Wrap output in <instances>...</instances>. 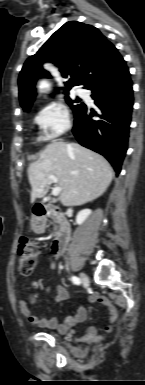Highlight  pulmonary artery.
<instances>
[{"mask_svg": "<svg viewBox=\"0 0 145 385\" xmlns=\"http://www.w3.org/2000/svg\"><path fill=\"white\" fill-rule=\"evenodd\" d=\"M77 93L79 96H83L85 94V91L83 89H78Z\"/></svg>", "mask_w": 145, "mask_h": 385, "instance_id": "pulmonary-artery-1", "label": "pulmonary artery"}]
</instances>
